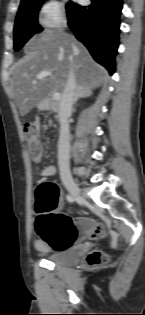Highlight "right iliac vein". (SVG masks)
<instances>
[{
    "label": "right iliac vein",
    "mask_w": 145,
    "mask_h": 315,
    "mask_svg": "<svg viewBox=\"0 0 145 315\" xmlns=\"http://www.w3.org/2000/svg\"><path fill=\"white\" fill-rule=\"evenodd\" d=\"M65 188L78 200H82V195L79 187L72 179H66L63 181Z\"/></svg>",
    "instance_id": "obj_1"
}]
</instances>
